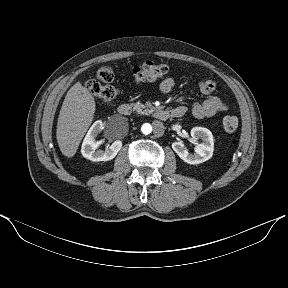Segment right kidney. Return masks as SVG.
Returning a JSON list of instances; mask_svg holds the SVG:
<instances>
[{
    "instance_id": "1",
    "label": "right kidney",
    "mask_w": 288,
    "mask_h": 288,
    "mask_svg": "<svg viewBox=\"0 0 288 288\" xmlns=\"http://www.w3.org/2000/svg\"><path fill=\"white\" fill-rule=\"evenodd\" d=\"M104 129L101 120L94 122L84 138L81 147L83 157L91 161H109L112 160L122 147V141L116 140L106 150H98L100 142L96 141L97 135Z\"/></svg>"
}]
</instances>
